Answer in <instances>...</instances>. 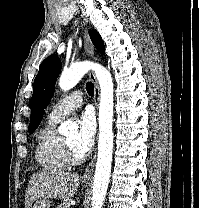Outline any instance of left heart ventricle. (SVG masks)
Listing matches in <instances>:
<instances>
[{
	"label": "left heart ventricle",
	"instance_id": "1",
	"mask_svg": "<svg viewBox=\"0 0 199 208\" xmlns=\"http://www.w3.org/2000/svg\"><path fill=\"white\" fill-rule=\"evenodd\" d=\"M77 138H78L77 134H73V135L69 136L66 139V141L71 146V148L73 149V151L75 152L76 155L82 156V154L80 152H78L76 149Z\"/></svg>",
	"mask_w": 199,
	"mask_h": 208
}]
</instances>
